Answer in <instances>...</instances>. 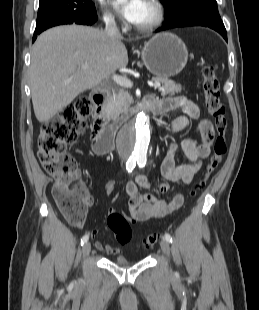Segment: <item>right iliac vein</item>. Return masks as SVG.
Here are the masks:
<instances>
[{
	"label": "right iliac vein",
	"mask_w": 259,
	"mask_h": 310,
	"mask_svg": "<svg viewBox=\"0 0 259 310\" xmlns=\"http://www.w3.org/2000/svg\"><path fill=\"white\" fill-rule=\"evenodd\" d=\"M90 250H91V245H90L89 242H86V243L83 245V248H82L83 257L88 256L89 253H90Z\"/></svg>",
	"instance_id": "1"
}]
</instances>
